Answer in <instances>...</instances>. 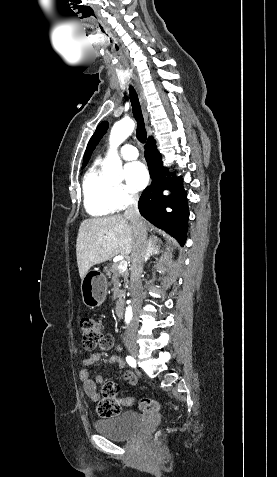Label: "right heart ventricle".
<instances>
[{
    "label": "right heart ventricle",
    "instance_id": "obj_1",
    "mask_svg": "<svg viewBox=\"0 0 277 477\" xmlns=\"http://www.w3.org/2000/svg\"><path fill=\"white\" fill-rule=\"evenodd\" d=\"M114 185L103 176L96 161L85 173L82 182L83 204L93 217L113 214L117 208L113 199Z\"/></svg>",
    "mask_w": 277,
    "mask_h": 477
}]
</instances>
